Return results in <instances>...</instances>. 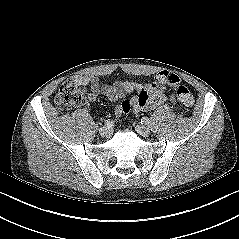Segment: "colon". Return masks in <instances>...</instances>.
Returning <instances> with one entry per match:
<instances>
[{
  "mask_svg": "<svg viewBox=\"0 0 239 239\" xmlns=\"http://www.w3.org/2000/svg\"><path fill=\"white\" fill-rule=\"evenodd\" d=\"M157 83H167L175 90L177 99L185 106H192L194 97L191 91L185 86L178 75L169 71H160L155 76ZM86 102V94L82 86L74 79H66L55 96V104L60 107H76ZM121 111L127 113L131 109V101L123 100L121 103Z\"/></svg>",
  "mask_w": 239,
  "mask_h": 239,
  "instance_id": "colon-1",
  "label": "colon"
}]
</instances>
